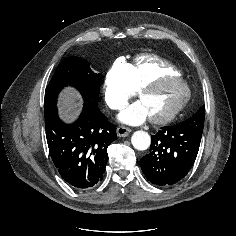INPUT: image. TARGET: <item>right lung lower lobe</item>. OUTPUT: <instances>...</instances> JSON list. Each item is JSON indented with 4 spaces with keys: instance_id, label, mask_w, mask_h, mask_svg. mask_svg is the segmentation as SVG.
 I'll use <instances>...</instances> for the list:
<instances>
[{
    "instance_id": "1",
    "label": "right lung lower lobe",
    "mask_w": 236,
    "mask_h": 236,
    "mask_svg": "<svg viewBox=\"0 0 236 236\" xmlns=\"http://www.w3.org/2000/svg\"><path fill=\"white\" fill-rule=\"evenodd\" d=\"M51 158L62 178L76 189H90L103 178L107 147L117 139L116 126L94 108L83 107L72 124L62 122L57 112L45 115Z\"/></svg>"
}]
</instances>
